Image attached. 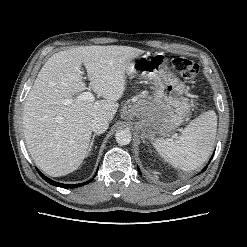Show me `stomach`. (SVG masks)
<instances>
[{
	"label": "stomach",
	"instance_id": "obj_1",
	"mask_svg": "<svg viewBox=\"0 0 247 247\" xmlns=\"http://www.w3.org/2000/svg\"><path fill=\"white\" fill-rule=\"evenodd\" d=\"M168 59L163 53L143 55L129 63L126 74L153 84L154 95L150 101L136 104L135 128L141 136L153 139L156 134L168 136L189 115L190 105L185 101V84L168 71Z\"/></svg>",
	"mask_w": 247,
	"mask_h": 247
}]
</instances>
